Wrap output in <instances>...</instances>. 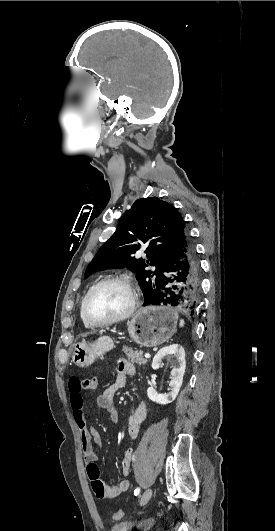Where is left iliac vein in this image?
<instances>
[{"mask_svg":"<svg viewBox=\"0 0 275 531\" xmlns=\"http://www.w3.org/2000/svg\"><path fill=\"white\" fill-rule=\"evenodd\" d=\"M152 497V489H147L144 491V493L141 496L140 505L143 506L148 503V501Z\"/></svg>","mask_w":275,"mask_h":531,"instance_id":"obj_1","label":"left iliac vein"}]
</instances>
